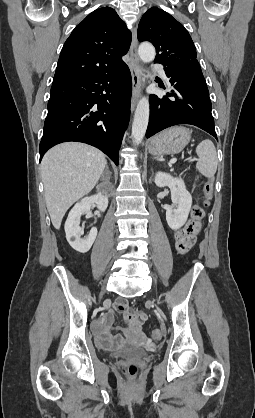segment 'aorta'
Masks as SVG:
<instances>
[{
    "mask_svg": "<svg viewBox=\"0 0 255 418\" xmlns=\"http://www.w3.org/2000/svg\"><path fill=\"white\" fill-rule=\"evenodd\" d=\"M138 54L140 59L147 63L155 58V48L150 43H142L139 46ZM149 100L147 97H142L136 107L134 120L132 123V137L135 145H139L146 133L149 121Z\"/></svg>",
    "mask_w": 255,
    "mask_h": 418,
    "instance_id": "1",
    "label": "aorta"
}]
</instances>
